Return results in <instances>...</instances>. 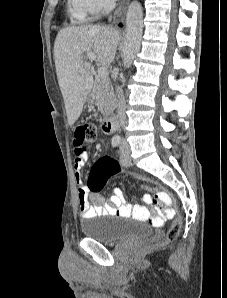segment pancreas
I'll list each match as a JSON object with an SVG mask.
<instances>
[{
  "label": "pancreas",
  "instance_id": "cf45deb5",
  "mask_svg": "<svg viewBox=\"0 0 227 298\" xmlns=\"http://www.w3.org/2000/svg\"><path fill=\"white\" fill-rule=\"evenodd\" d=\"M95 105L103 115L112 113L116 106V97L110 79H95L93 85Z\"/></svg>",
  "mask_w": 227,
  "mask_h": 298
}]
</instances>
